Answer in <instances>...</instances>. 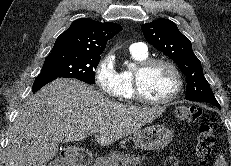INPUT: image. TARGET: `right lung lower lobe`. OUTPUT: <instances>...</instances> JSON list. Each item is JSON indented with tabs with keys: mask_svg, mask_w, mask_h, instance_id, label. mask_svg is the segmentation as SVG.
<instances>
[{
	"mask_svg": "<svg viewBox=\"0 0 231 166\" xmlns=\"http://www.w3.org/2000/svg\"><path fill=\"white\" fill-rule=\"evenodd\" d=\"M57 76H53V75H46V74H39L33 84V93H35L36 91H38L40 88H42L44 85H46L47 83L57 79Z\"/></svg>",
	"mask_w": 231,
	"mask_h": 166,
	"instance_id": "98d812e1",
	"label": "right lung lower lobe"
}]
</instances>
